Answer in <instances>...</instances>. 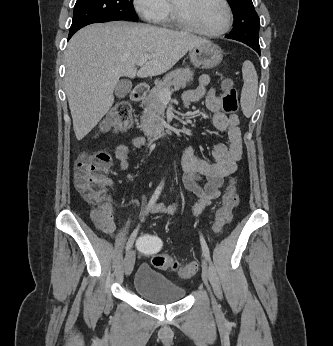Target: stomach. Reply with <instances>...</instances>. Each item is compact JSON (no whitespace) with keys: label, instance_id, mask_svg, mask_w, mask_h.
<instances>
[{"label":"stomach","instance_id":"1","mask_svg":"<svg viewBox=\"0 0 333 346\" xmlns=\"http://www.w3.org/2000/svg\"><path fill=\"white\" fill-rule=\"evenodd\" d=\"M189 56L194 66L211 69L222 61L223 53L217 45L207 42L191 49Z\"/></svg>","mask_w":333,"mask_h":346}]
</instances>
